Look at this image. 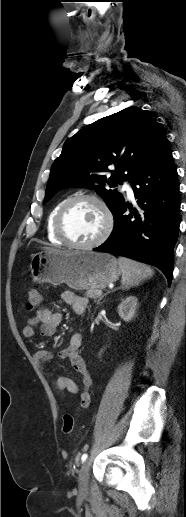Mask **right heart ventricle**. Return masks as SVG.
<instances>
[{
  "label": "right heart ventricle",
  "mask_w": 186,
  "mask_h": 517,
  "mask_svg": "<svg viewBox=\"0 0 186 517\" xmlns=\"http://www.w3.org/2000/svg\"><path fill=\"white\" fill-rule=\"evenodd\" d=\"M68 200V198H64L57 202L49 211L46 218V235L48 240L55 245L64 244L63 241L57 236L55 232V218L56 215L61 208V206Z\"/></svg>",
  "instance_id": "e07e8e85"
}]
</instances>
